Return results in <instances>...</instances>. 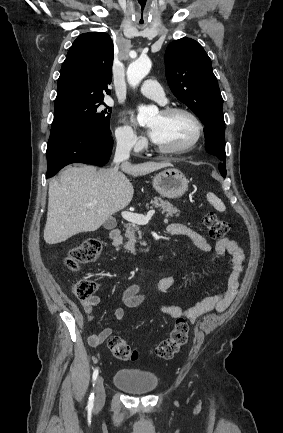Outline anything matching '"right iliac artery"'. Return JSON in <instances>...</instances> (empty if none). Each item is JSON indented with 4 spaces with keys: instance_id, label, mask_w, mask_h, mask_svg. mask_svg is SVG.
I'll return each instance as SVG.
<instances>
[{
    "instance_id": "82829eb1",
    "label": "right iliac artery",
    "mask_w": 283,
    "mask_h": 433,
    "mask_svg": "<svg viewBox=\"0 0 283 433\" xmlns=\"http://www.w3.org/2000/svg\"><path fill=\"white\" fill-rule=\"evenodd\" d=\"M97 377H98V369H95L93 372V376H92L93 382L97 379ZM93 386H94V384H93ZM93 403H94V393H91V395L89 397L88 405H87V408L89 410H92Z\"/></svg>"
}]
</instances>
